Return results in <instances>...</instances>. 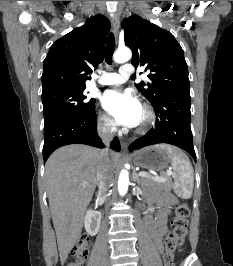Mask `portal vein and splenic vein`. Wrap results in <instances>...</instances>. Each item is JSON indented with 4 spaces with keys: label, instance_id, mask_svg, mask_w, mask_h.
I'll return each mask as SVG.
<instances>
[{
    "label": "portal vein and splenic vein",
    "instance_id": "portal-vein-and-splenic-vein-1",
    "mask_svg": "<svg viewBox=\"0 0 233 266\" xmlns=\"http://www.w3.org/2000/svg\"><path fill=\"white\" fill-rule=\"evenodd\" d=\"M138 175L140 177H148V178H151L153 179L154 181H157V182H164L166 181V178L164 177H160V176H151L150 174L146 173V172H139ZM167 175L168 176H171L172 175V172L171 171H167ZM86 183L84 182L83 185H85Z\"/></svg>",
    "mask_w": 233,
    "mask_h": 266
}]
</instances>
